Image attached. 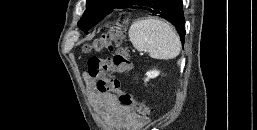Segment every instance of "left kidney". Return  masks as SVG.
<instances>
[{"instance_id": "left-kidney-1", "label": "left kidney", "mask_w": 257, "mask_h": 130, "mask_svg": "<svg viewBox=\"0 0 257 130\" xmlns=\"http://www.w3.org/2000/svg\"><path fill=\"white\" fill-rule=\"evenodd\" d=\"M146 75H147V78L145 79V82L148 81L149 79L157 77L159 75V71H156V70L148 71Z\"/></svg>"}]
</instances>
